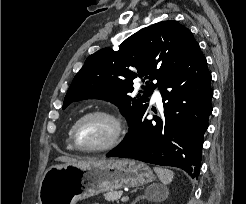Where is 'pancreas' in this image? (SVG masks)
I'll return each instance as SVG.
<instances>
[{"mask_svg":"<svg viewBox=\"0 0 246 204\" xmlns=\"http://www.w3.org/2000/svg\"><path fill=\"white\" fill-rule=\"evenodd\" d=\"M122 193V191H110L104 194V198L111 202L118 201L121 198Z\"/></svg>","mask_w":246,"mask_h":204,"instance_id":"pancreas-1","label":"pancreas"}]
</instances>
